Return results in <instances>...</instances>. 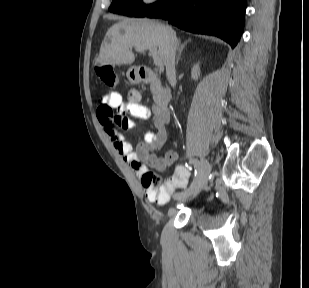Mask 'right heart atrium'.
I'll list each match as a JSON object with an SVG mask.
<instances>
[{
	"instance_id": "obj_1",
	"label": "right heart atrium",
	"mask_w": 309,
	"mask_h": 288,
	"mask_svg": "<svg viewBox=\"0 0 309 288\" xmlns=\"http://www.w3.org/2000/svg\"><path fill=\"white\" fill-rule=\"evenodd\" d=\"M161 0H141L142 5L151 7L158 4Z\"/></svg>"
}]
</instances>
